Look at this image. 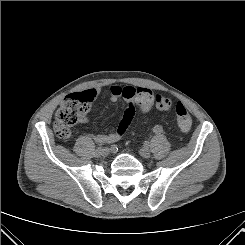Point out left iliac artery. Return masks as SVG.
<instances>
[{
    "label": "left iliac artery",
    "mask_w": 245,
    "mask_h": 245,
    "mask_svg": "<svg viewBox=\"0 0 245 245\" xmlns=\"http://www.w3.org/2000/svg\"><path fill=\"white\" fill-rule=\"evenodd\" d=\"M162 131L161 127L160 126H155L154 127V132L155 133H160Z\"/></svg>",
    "instance_id": "obj_1"
}]
</instances>
